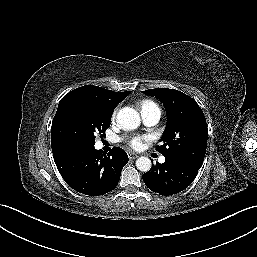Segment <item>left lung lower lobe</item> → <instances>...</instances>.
Returning a JSON list of instances; mask_svg holds the SVG:
<instances>
[{
  "label": "left lung lower lobe",
  "instance_id": "left-lung-lower-lobe-1",
  "mask_svg": "<svg viewBox=\"0 0 257 257\" xmlns=\"http://www.w3.org/2000/svg\"><path fill=\"white\" fill-rule=\"evenodd\" d=\"M163 164H152L142 175L148 188L161 195H172L186 189L196 178L203 161L186 156H165Z\"/></svg>",
  "mask_w": 257,
  "mask_h": 257
}]
</instances>
